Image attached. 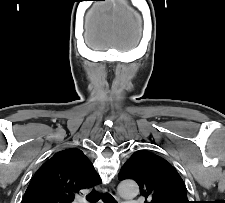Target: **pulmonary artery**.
Wrapping results in <instances>:
<instances>
[{"label": "pulmonary artery", "mask_w": 225, "mask_h": 203, "mask_svg": "<svg viewBox=\"0 0 225 203\" xmlns=\"http://www.w3.org/2000/svg\"><path fill=\"white\" fill-rule=\"evenodd\" d=\"M125 203H142L141 200H127Z\"/></svg>", "instance_id": "e3ab8cb5"}]
</instances>
